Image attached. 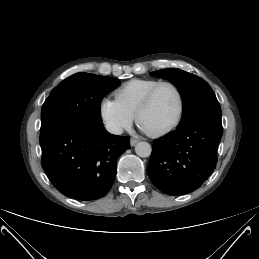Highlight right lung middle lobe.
I'll use <instances>...</instances> for the list:
<instances>
[{"mask_svg": "<svg viewBox=\"0 0 259 259\" xmlns=\"http://www.w3.org/2000/svg\"><path fill=\"white\" fill-rule=\"evenodd\" d=\"M119 83L90 73H76L63 80L42 106L41 130L64 122L101 124V101Z\"/></svg>", "mask_w": 259, "mask_h": 259, "instance_id": "right-lung-middle-lobe-1", "label": "right lung middle lobe"}]
</instances>
